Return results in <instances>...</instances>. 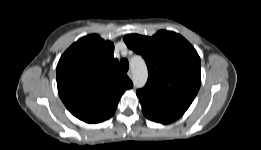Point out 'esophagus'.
Segmentation results:
<instances>
[{"label":"esophagus","instance_id":"obj_1","mask_svg":"<svg viewBox=\"0 0 261 150\" xmlns=\"http://www.w3.org/2000/svg\"><path fill=\"white\" fill-rule=\"evenodd\" d=\"M127 75H128V77L131 79V78H132V76H133V73H132V71H131V70H129V71L127 72Z\"/></svg>","mask_w":261,"mask_h":150}]
</instances>
